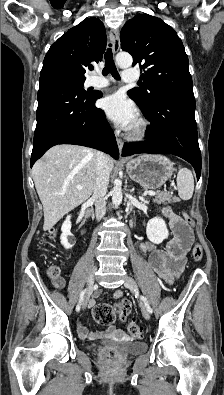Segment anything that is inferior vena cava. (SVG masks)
Masks as SVG:
<instances>
[{
    "label": "inferior vena cava",
    "mask_w": 224,
    "mask_h": 395,
    "mask_svg": "<svg viewBox=\"0 0 224 395\" xmlns=\"http://www.w3.org/2000/svg\"><path fill=\"white\" fill-rule=\"evenodd\" d=\"M110 169L107 155L97 152L96 177L93 190L96 219L100 221L106 213V193L109 184Z\"/></svg>",
    "instance_id": "obj_1"
}]
</instances>
